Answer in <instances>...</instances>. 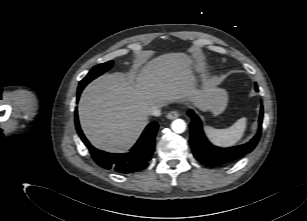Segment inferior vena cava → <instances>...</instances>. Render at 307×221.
<instances>
[{"label": "inferior vena cava", "instance_id": "obj_1", "mask_svg": "<svg viewBox=\"0 0 307 221\" xmlns=\"http://www.w3.org/2000/svg\"><path fill=\"white\" fill-rule=\"evenodd\" d=\"M161 107H162V105H155V106H152L151 108H150V114L152 115V116H156V117H158V116H160L161 115Z\"/></svg>", "mask_w": 307, "mask_h": 221}]
</instances>
